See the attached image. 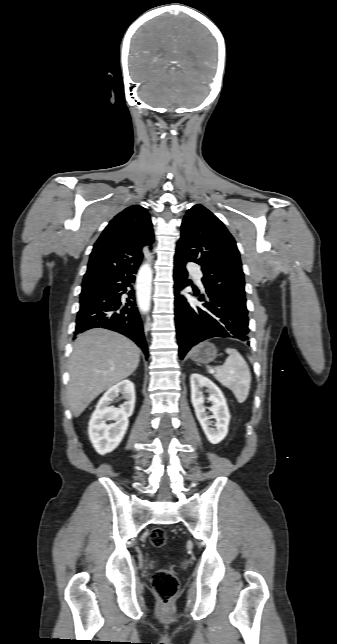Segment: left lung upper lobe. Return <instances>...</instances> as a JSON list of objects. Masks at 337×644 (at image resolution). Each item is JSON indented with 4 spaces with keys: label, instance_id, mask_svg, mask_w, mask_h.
<instances>
[{
    "label": "left lung upper lobe",
    "instance_id": "left-lung-upper-lobe-1",
    "mask_svg": "<svg viewBox=\"0 0 337 644\" xmlns=\"http://www.w3.org/2000/svg\"><path fill=\"white\" fill-rule=\"evenodd\" d=\"M175 258L201 265L204 286L247 312L244 273L236 242L223 223L204 206L197 204L187 211Z\"/></svg>",
    "mask_w": 337,
    "mask_h": 644
}]
</instances>
